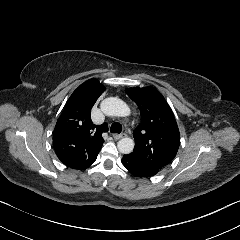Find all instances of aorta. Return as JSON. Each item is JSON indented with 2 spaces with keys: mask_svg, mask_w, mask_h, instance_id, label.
<instances>
[{
  "mask_svg": "<svg viewBox=\"0 0 240 240\" xmlns=\"http://www.w3.org/2000/svg\"><path fill=\"white\" fill-rule=\"evenodd\" d=\"M100 109L106 116L125 117L130 112L127 104L117 97L105 98L100 103ZM117 148L120 153L129 154L133 151L134 141L128 137L122 138L118 141Z\"/></svg>",
  "mask_w": 240,
  "mask_h": 240,
  "instance_id": "1",
  "label": "aorta"
}]
</instances>
